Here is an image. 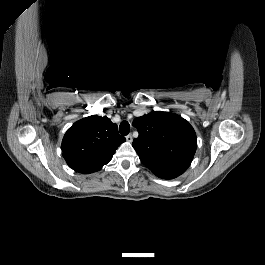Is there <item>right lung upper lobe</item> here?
Listing matches in <instances>:
<instances>
[{"mask_svg":"<svg viewBox=\"0 0 265 265\" xmlns=\"http://www.w3.org/2000/svg\"><path fill=\"white\" fill-rule=\"evenodd\" d=\"M124 141L117 125L109 118L92 115L75 122L67 130L61 150L73 170L89 174L107 164Z\"/></svg>","mask_w":265,"mask_h":265,"instance_id":"right-lung-upper-lobe-1","label":"right lung upper lobe"}]
</instances>
